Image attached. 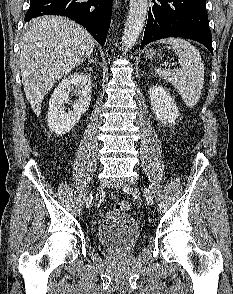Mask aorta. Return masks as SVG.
I'll return each mask as SVG.
<instances>
[{
  "instance_id": "obj_1",
  "label": "aorta",
  "mask_w": 233,
  "mask_h": 294,
  "mask_svg": "<svg viewBox=\"0 0 233 294\" xmlns=\"http://www.w3.org/2000/svg\"><path fill=\"white\" fill-rule=\"evenodd\" d=\"M148 8V0H130L128 16L122 35L125 52L131 49L139 38L145 25Z\"/></svg>"
}]
</instances>
